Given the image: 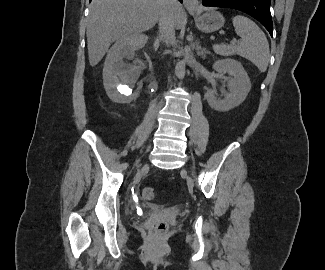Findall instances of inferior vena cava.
I'll return each instance as SVG.
<instances>
[{"mask_svg": "<svg viewBox=\"0 0 325 270\" xmlns=\"http://www.w3.org/2000/svg\"><path fill=\"white\" fill-rule=\"evenodd\" d=\"M176 3V0H162V10L159 17V40L166 44L174 45L176 42L175 25L171 12V7Z\"/></svg>", "mask_w": 325, "mask_h": 270, "instance_id": "602c4592", "label": "inferior vena cava"}]
</instances>
